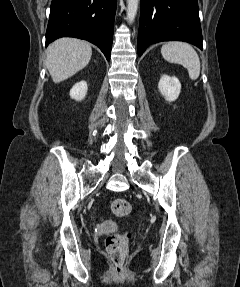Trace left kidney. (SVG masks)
<instances>
[{
	"mask_svg": "<svg viewBox=\"0 0 240 287\" xmlns=\"http://www.w3.org/2000/svg\"><path fill=\"white\" fill-rule=\"evenodd\" d=\"M158 88L165 99L172 102L178 98L181 91V84L176 77L163 75L159 81Z\"/></svg>",
	"mask_w": 240,
	"mask_h": 287,
	"instance_id": "1",
	"label": "left kidney"
}]
</instances>
